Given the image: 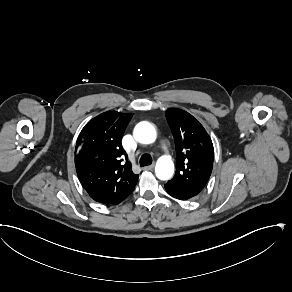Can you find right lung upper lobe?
<instances>
[{
  "label": "right lung upper lobe",
  "mask_w": 292,
  "mask_h": 292,
  "mask_svg": "<svg viewBox=\"0 0 292 292\" xmlns=\"http://www.w3.org/2000/svg\"><path fill=\"white\" fill-rule=\"evenodd\" d=\"M131 117L116 111L102 113L90 120L78 136L76 172L82 186L96 202L119 204L137 183L139 175L132 172L121 145Z\"/></svg>",
  "instance_id": "right-lung-upper-lobe-1"
}]
</instances>
